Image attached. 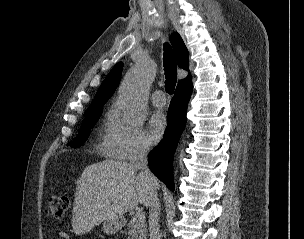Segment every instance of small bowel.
I'll use <instances>...</instances> for the list:
<instances>
[{"instance_id":"small-bowel-1","label":"small bowel","mask_w":304,"mask_h":239,"mask_svg":"<svg viewBox=\"0 0 304 239\" xmlns=\"http://www.w3.org/2000/svg\"><path fill=\"white\" fill-rule=\"evenodd\" d=\"M57 239H68V235L67 233L63 232V231H59L56 234Z\"/></svg>"}]
</instances>
